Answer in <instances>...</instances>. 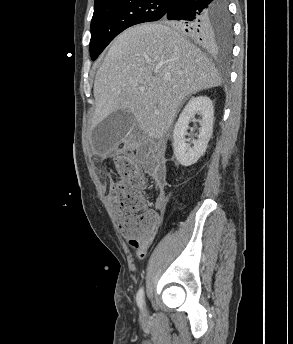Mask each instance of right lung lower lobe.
<instances>
[{"mask_svg":"<svg viewBox=\"0 0 293 344\" xmlns=\"http://www.w3.org/2000/svg\"><path fill=\"white\" fill-rule=\"evenodd\" d=\"M218 0H172L163 20H174L198 44L212 45L210 20ZM209 45V46H210Z\"/></svg>","mask_w":293,"mask_h":344,"instance_id":"right-lung-lower-lobe-1","label":"right lung lower lobe"}]
</instances>
